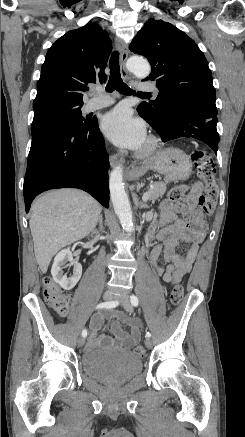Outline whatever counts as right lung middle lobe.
Returning <instances> with one entry per match:
<instances>
[{"mask_svg":"<svg viewBox=\"0 0 245 437\" xmlns=\"http://www.w3.org/2000/svg\"><path fill=\"white\" fill-rule=\"evenodd\" d=\"M82 105L71 103H51L34 109L31 126L32 135L52 123L68 125L73 128L86 127L92 123V118H85L81 112Z\"/></svg>","mask_w":245,"mask_h":437,"instance_id":"dd1d6c3e","label":"right lung middle lobe"}]
</instances>
